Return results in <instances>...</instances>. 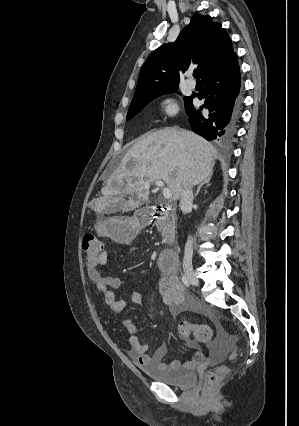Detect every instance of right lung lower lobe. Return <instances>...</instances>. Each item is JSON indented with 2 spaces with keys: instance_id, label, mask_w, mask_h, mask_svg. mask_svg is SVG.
<instances>
[{
  "instance_id": "right-lung-lower-lobe-1",
  "label": "right lung lower lobe",
  "mask_w": 299,
  "mask_h": 426,
  "mask_svg": "<svg viewBox=\"0 0 299 426\" xmlns=\"http://www.w3.org/2000/svg\"><path fill=\"white\" fill-rule=\"evenodd\" d=\"M202 82L205 87L197 97L204 99L200 109L207 108L209 114L203 116L201 110H195L192 103L194 96H190V102L186 105L189 123L195 133L208 141L226 138L232 132L238 116L236 98L240 89V73L236 54L222 67L205 74Z\"/></svg>"
}]
</instances>
